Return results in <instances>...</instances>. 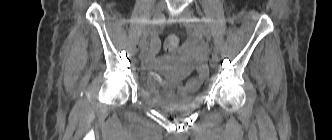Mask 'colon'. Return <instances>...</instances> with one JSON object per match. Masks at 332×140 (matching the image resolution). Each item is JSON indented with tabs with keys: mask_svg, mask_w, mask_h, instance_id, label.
Returning a JSON list of instances; mask_svg holds the SVG:
<instances>
[{
	"mask_svg": "<svg viewBox=\"0 0 332 140\" xmlns=\"http://www.w3.org/2000/svg\"><path fill=\"white\" fill-rule=\"evenodd\" d=\"M179 44V39L175 35L169 36L164 42V50L166 52H173Z\"/></svg>",
	"mask_w": 332,
	"mask_h": 140,
	"instance_id": "obj_1",
	"label": "colon"
}]
</instances>
